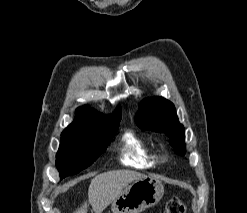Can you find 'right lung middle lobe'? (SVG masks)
<instances>
[{
  "mask_svg": "<svg viewBox=\"0 0 247 213\" xmlns=\"http://www.w3.org/2000/svg\"><path fill=\"white\" fill-rule=\"evenodd\" d=\"M118 126L119 123H116L89 134L61 135L56 154V167L61 179L90 166L106 150Z\"/></svg>",
  "mask_w": 247,
  "mask_h": 213,
  "instance_id": "dd1d6c3e",
  "label": "right lung middle lobe"
}]
</instances>
